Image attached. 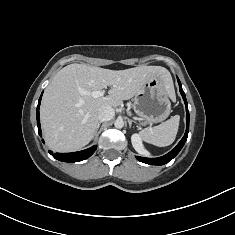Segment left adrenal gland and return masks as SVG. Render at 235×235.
I'll return each mask as SVG.
<instances>
[{"label": "left adrenal gland", "mask_w": 235, "mask_h": 235, "mask_svg": "<svg viewBox=\"0 0 235 235\" xmlns=\"http://www.w3.org/2000/svg\"><path fill=\"white\" fill-rule=\"evenodd\" d=\"M127 120H128L129 127L131 128V126H132V120H130L129 118H127Z\"/></svg>", "instance_id": "obj_1"}]
</instances>
